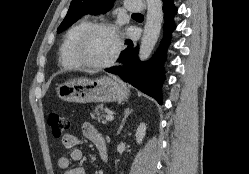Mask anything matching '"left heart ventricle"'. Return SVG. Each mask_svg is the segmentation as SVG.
Listing matches in <instances>:
<instances>
[{"instance_id": "b2bd125f", "label": "left heart ventricle", "mask_w": 249, "mask_h": 174, "mask_svg": "<svg viewBox=\"0 0 249 174\" xmlns=\"http://www.w3.org/2000/svg\"><path fill=\"white\" fill-rule=\"evenodd\" d=\"M116 49L114 34L108 30H95L88 35L83 47L82 55L90 63H103L111 58Z\"/></svg>"}]
</instances>
